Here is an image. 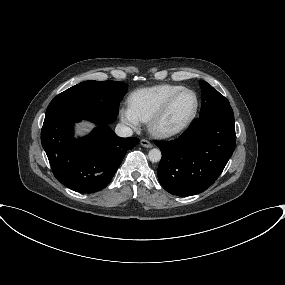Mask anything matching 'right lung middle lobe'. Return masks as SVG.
Wrapping results in <instances>:
<instances>
[{
    "mask_svg": "<svg viewBox=\"0 0 285 285\" xmlns=\"http://www.w3.org/2000/svg\"><path fill=\"white\" fill-rule=\"evenodd\" d=\"M127 84L115 81H85L56 97L70 98L91 105L102 112L118 115L119 103L127 92Z\"/></svg>",
    "mask_w": 285,
    "mask_h": 285,
    "instance_id": "obj_1",
    "label": "right lung middle lobe"
}]
</instances>
